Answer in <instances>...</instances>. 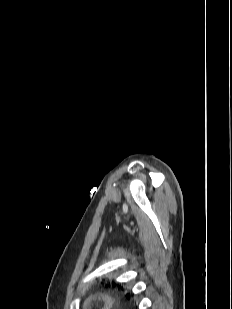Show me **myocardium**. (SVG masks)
<instances>
[{
    "label": "myocardium",
    "mask_w": 232,
    "mask_h": 309,
    "mask_svg": "<svg viewBox=\"0 0 232 309\" xmlns=\"http://www.w3.org/2000/svg\"><path fill=\"white\" fill-rule=\"evenodd\" d=\"M90 305H91L92 307H96V306L98 305L97 300L92 299L91 302H90Z\"/></svg>",
    "instance_id": "myocardium-1"
}]
</instances>
